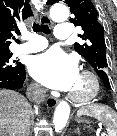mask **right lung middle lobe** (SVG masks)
I'll return each instance as SVG.
<instances>
[{
	"instance_id": "dd1d6c3e",
	"label": "right lung middle lobe",
	"mask_w": 117,
	"mask_h": 136,
	"mask_svg": "<svg viewBox=\"0 0 117 136\" xmlns=\"http://www.w3.org/2000/svg\"><path fill=\"white\" fill-rule=\"evenodd\" d=\"M12 53H0V70L2 71H15L22 66L18 61L11 59Z\"/></svg>"
}]
</instances>
